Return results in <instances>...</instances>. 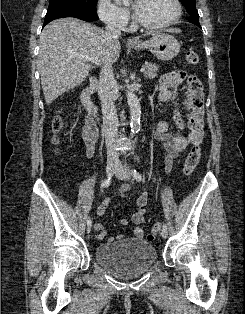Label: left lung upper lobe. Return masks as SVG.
Listing matches in <instances>:
<instances>
[{"label": "left lung upper lobe", "mask_w": 245, "mask_h": 314, "mask_svg": "<svg viewBox=\"0 0 245 314\" xmlns=\"http://www.w3.org/2000/svg\"><path fill=\"white\" fill-rule=\"evenodd\" d=\"M179 1L184 5V7L186 8L187 12L190 15L189 22L201 27L199 23V14L195 6L196 0H179Z\"/></svg>", "instance_id": "obj_1"}]
</instances>
